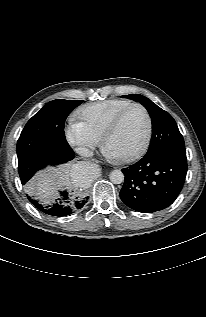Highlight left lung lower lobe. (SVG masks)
I'll list each match as a JSON object with an SVG mask.
<instances>
[{
  "label": "left lung lower lobe",
  "mask_w": 206,
  "mask_h": 317,
  "mask_svg": "<svg viewBox=\"0 0 206 317\" xmlns=\"http://www.w3.org/2000/svg\"><path fill=\"white\" fill-rule=\"evenodd\" d=\"M122 172L125 182L121 200L133 210L152 213L165 209L179 195L186 178L187 158L175 151L146 154Z\"/></svg>",
  "instance_id": "left-lung-lower-lobe-1"
}]
</instances>
